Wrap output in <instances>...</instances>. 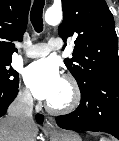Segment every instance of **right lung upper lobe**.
Segmentation results:
<instances>
[{
  "mask_svg": "<svg viewBox=\"0 0 119 141\" xmlns=\"http://www.w3.org/2000/svg\"><path fill=\"white\" fill-rule=\"evenodd\" d=\"M30 0H0V59L12 58L26 30Z\"/></svg>",
  "mask_w": 119,
  "mask_h": 141,
  "instance_id": "obj_1",
  "label": "right lung upper lobe"
}]
</instances>
